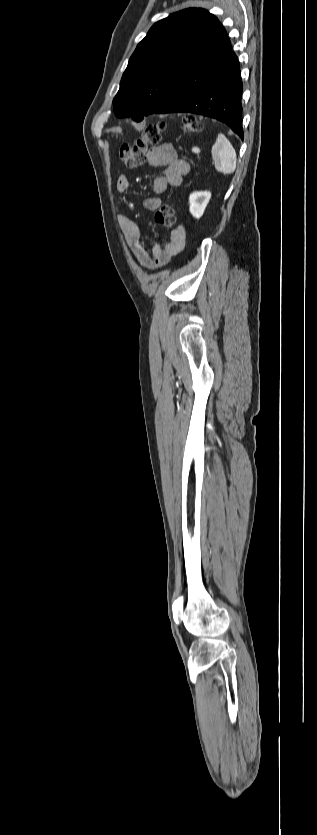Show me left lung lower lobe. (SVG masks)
I'll list each match as a JSON object with an SVG mask.
<instances>
[{
  "label": "left lung lower lobe",
  "mask_w": 317,
  "mask_h": 835,
  "mask_svg": "<svg viewBox=\"0 0 317 835\" xmlns=\"http://www.w3.org/2000/svg\"><path fill=\"white\" fill-rule=\"evenodd\" d=\"M240 65L220 24L199 55L185 70L173 96L155 114L194 113L227 124L241 139ZM152 113V114H153Z\"/></svg>",
  "instance_id": "obj_1"
}]
</instances>
